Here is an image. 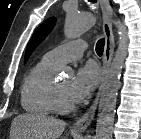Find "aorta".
<instances>
[{"label":"aorta","mask_w":141,"mask_h":139,"mask_svg":"<svg viewBox=\"0 0 141 139\" xmlns=\"http://www.w3.org/2000/svg\"><path fill=\"white\" fill-rule=\"evenodd\" d=\"M95 21L96 17L91 14L68 13L65 19L64 35L68 39L78 38L88 31ZM113 24L118 29V47L103 85L94 139H112L120 76L127 57V29L120 20H113Z\"/></svg>","instance_id":"1"}]
</instances>
